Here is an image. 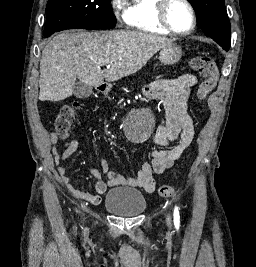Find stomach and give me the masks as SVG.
<instances>
[{"mask_svg": "<svg viewBox=\"0 0 256 267\" xmlns=\"http://www.w3.org/2000/svg\"><path fill=\"white\" fill-rule=\"evenodd\" d=\"M182 56V50L178 44H166L160 50L159 60L162 64H177Z\"/></svg>", "mask_w": 256, "mask_h": 267, "instance_id": "1", "label": "stomach"}]
</instances>
